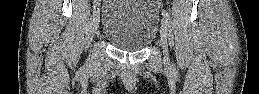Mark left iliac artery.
I'll return each mask as SVG.
<instances>
[{
	"label": "left iliac artery",
	"instance_id": "44dca946",
	"mask_svg": "<svg viewBox=\"0 0 259 94\" xmlns=\"http://www.w3.org/2000/svg\"><path fill=\"white\" fill-rule=\"evenodd\" d=\"M162 15H163L164 18L169 20V13L165 9L162 10Z\"/></svg>",
	"mask_w": 259,
	"mask_h": 94
}]
</instances>
